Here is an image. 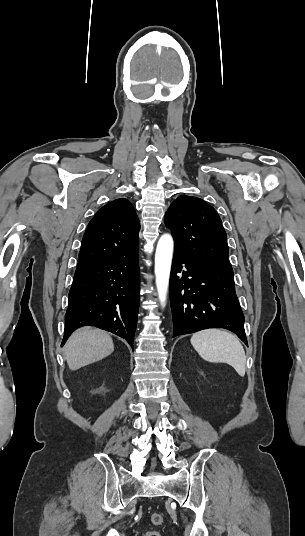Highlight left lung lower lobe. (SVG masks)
Returning a JSON list of instances; mask_svg holds the SVG:
<instances>
[{
  "label": "left lung lower lobe",
  "instance_id": "left-lung-lower-lobe-1",
  "mask_svg": "<svg viewBox=\"0 0 305 536\" xmlns=\"http://www.w3.org/2000/svg\"><path fill=\"white\" fill-rule=\"evenodd\" d=\"M169 292L173 337L207 328H225L248 344L232 268L194 260L174 251Z\"/></svg>",
  "mask_w": 305,
  "mask_h": 536
}]
</instances>
